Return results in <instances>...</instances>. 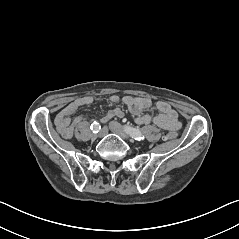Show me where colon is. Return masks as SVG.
<instances>
[{"label": "colon", "instance_id": "5ec220e1", "mask_svg": "<svg viewBox=\"0 0 239 239\" xmlns=\"http://www.w3.org/2000/svg\"><path fill=\"white\" fill-rule=\"evenodd\" d=\"M176 136H177L176 131L172 130L164 136V140H172V139L176 138Z\"/></svg>", "mask_w": 239, "mask_h": 239}]
</instances>
